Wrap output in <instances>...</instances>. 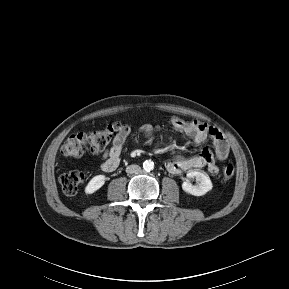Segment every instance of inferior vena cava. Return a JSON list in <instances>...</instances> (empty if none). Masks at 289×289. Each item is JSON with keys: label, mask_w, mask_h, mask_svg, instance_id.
Here are the masks:
<instances>
[{"label": "inferior vena cava", "mask_w": 289, "mask_h": 289, "mask_svg": "<svg viewBox=\"0 0 289 289\" xmlns=\"http://www.w3.org/2000/svg\"><path fill=\"white\" fill-rule=\"evenodd\" d=\"M140 171H141V167L139 165H136V164L129 165L126 168V172L128 174L139 173Z\"/></svg>", "instance_id": "602c4592"}]
</instances>
